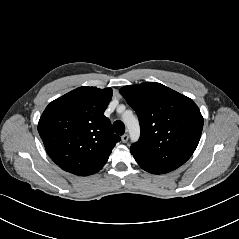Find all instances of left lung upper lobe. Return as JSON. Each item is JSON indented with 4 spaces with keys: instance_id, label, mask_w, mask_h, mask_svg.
<instances>
[{
    "instance_id": "left-lung-upper-lobe-1",
    "label": "left lung upper lobe",
    "mask_w": 239,
    "mask_h": 239,
    "mask_svg": "<svg viewBox=\"0 0 239 239\" xmlns=\"http://www.w3.org/2000/svg\"><path fill=\"white\" fill-rule=\"evenodd\" d=\"M120 93L139 117L141 137L131 146L138 164L154 174L184 164L195 151L203 128L194 101L156 82L125 86Z\"/></svg>"
}]
</instances>
